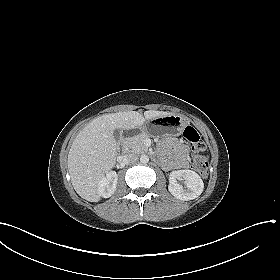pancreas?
Returning a JSON list of instances; mask_svg holds the SVG:
<instances>
[{"label":"pancreas","instance_id":"1","mask_svg":"<svg viewBox=\"0 0 280 280\" xmlns=\"http://www.w3.org/2000/svg\"><path fill=\"white\" fill-rule=\"evenodd\" d=\"M147 137H148V135H146L144 133L134 136L127 141L126 147L128 149H130L131 152H135L138 154L144 153L148 150L147 147L144 145V140Z\"/></svg>","mask_w":280,"mask_h":280}]
</instances>
